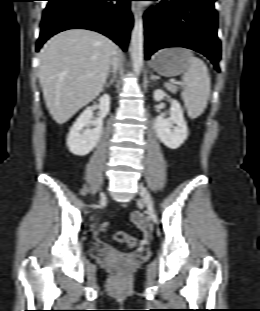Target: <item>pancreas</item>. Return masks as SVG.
<instances>
[{"label": "pancreas", "instance_id": "1", "mask_svg": "<svg viewBox=\"0 0 260 311\" xmlns=\"http://www.w3.org/2000/svg\"><path fill=\"white\" fill-rule=\"evenodd\" d=\"M165 87H166L167 90H169L172 93H176L177 90H178V87L176 85H174V84H171V83H166Z\"/></svg>", "mask_w": 260, "mask_h": 311}]
</instances>
